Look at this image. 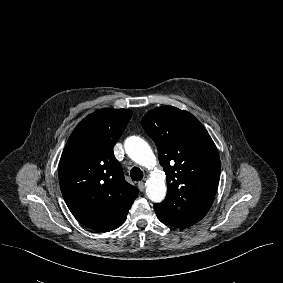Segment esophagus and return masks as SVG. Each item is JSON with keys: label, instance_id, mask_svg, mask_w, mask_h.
<instances>
[{"label": "esophagus", "instance_id": "34e87169", "mask_svg": "<svg viewBox=\"0 0 283 283\" xmlns=\"http://www.w3.org/2000/svg\"><path fill=\"white\" fill-rule=\"evenodd\" d=\"M138 188H139V190H140L141 192H143L144 189H145V183H144V182H139V183H138Z\"/></svg>", "mask_w": 283, "mask_h": 283}]
</instances>
